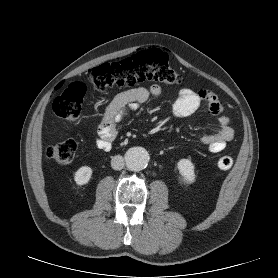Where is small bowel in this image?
<instances>
[{
  "mask_svg": "<svg viewBox=\"0 0 278 278\" xmlns=\"http://www.w3.org/2000/svg\"><path fill=\"white\" fill-rule=\"evenodd\" d=\"M161 93V87L154 84L149 88L137 87L116 95L107 106L103 120L98 127L95 139L96 147L103 151H109L117 136V124L131 111L136 110L151 97H159ZM202 102L208 105L210 114L217 118L220 130L202 136L200 142L213 153L221 152L225 149L227 143L233 139L234 130L230 126L229 118L224 114L222 104L213 92L204 89H181L173 104V114L178 118L188 117L197 111Z\"/></svg>",
  "mask_w": 278,
  "mask_h": 278,
  "instance_id": "obj_1",
  "label": "small bowel"
}]
</instances>
